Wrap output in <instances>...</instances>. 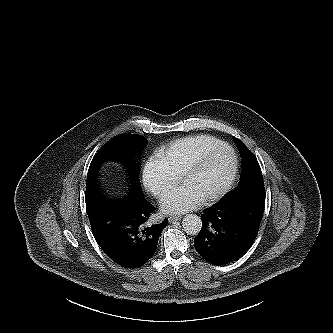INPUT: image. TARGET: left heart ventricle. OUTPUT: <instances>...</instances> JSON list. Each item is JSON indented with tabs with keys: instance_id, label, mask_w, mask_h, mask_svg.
<instances>
[{
	"instance_id": "1",
	"label": "left heart ventricle",
	"mask_w": 333,
	"mask_h": 333,
	"mask_svg": "<svg viewBox=\"0 0 333 333\" xmlns=\"http://www.w3.org/2000/svg\"><path fill=\"white\" fill-rule=\"evenodd\" d=\"M232 166V157L227 149H222L213 155L193 175L183 183L192 187L201 197H205L217 190L227 178Z\"/></svg>"
}]
</instances>
